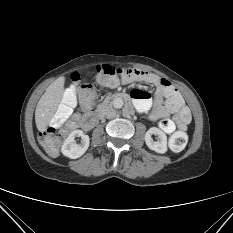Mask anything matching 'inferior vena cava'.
Masks as SVG:
<instances>
[{"label":"inferior vena cava","instance_id":"inferior-vena-cava-1","mask_svg":"<svg viewBox=\"0 0 233 233\" xmlns=\"http://www.w3.org/2000/svg\"><path fill=\"white\" fill-rule=\"evenodd\" d=\"M105 116L107 119H113L117 116V113L113 107H108L107 110L105 111Z\"/></svg>","mask_w":233,"mask_h":233}]
</instances>
